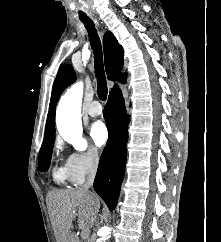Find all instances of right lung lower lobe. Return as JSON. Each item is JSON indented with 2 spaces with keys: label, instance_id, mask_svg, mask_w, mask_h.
Instances as JSON below:
<instances>
[{
  "label": "right lung lower lobe",
  "instance_id": "98d812e1",
  "mask_svg": "<svg viewBox=\"0 0 221 242\" xmlns=\"http://www.w3.org/2000/svg\"><path fill=\"white\" fill-rule=\"evenodd\" d=\"M126 82L125 77L119 80ZM109 136L100 158L94 189L108 208L116 206L126 164L129 118L126 114L122 92L117 85L111 90L104 110Z\"/></svg>",
  "mask_w": 221,
  "mask_h": 242
}]
</instances>
